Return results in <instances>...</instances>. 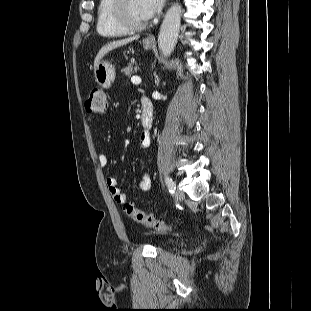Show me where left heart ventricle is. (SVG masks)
Instances as JSON below:
<instances>
[{
	"mask_svg": "<svg viewBox=\"0 0 311 311\" xmlns=\"http://www.w3.org/2000/svg\"><path fill=\"white\" fill-rule=\"evenodd\" d=\"M127 14L129 19L134 23H142L147 21L141 13L139 0H128Z\"/></svg>",
	"mask_w": 311,
	"mask_h": 311,
	"instance_id": "1",
	"label": "left heart ventricle"
}]
</instances>
